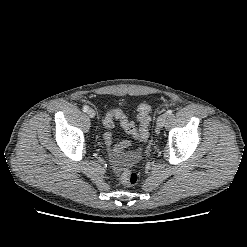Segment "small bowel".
I'll return each instance as SVG.
<instances>
[{"label":"small bowel","mask_w":247,"mask_h":247,"mask_svg":"<svg viewBox=\"0 0 247 247\" xmlns=\"http://www.w3.org/2000/svg\"><path fill=\"white\" fill-rule=\"evenodd\" d=\"M112 165H113V169L116 173H119L122 170L123 167V158L117 154V155H113L112 157Z\"/></svg>","instance_id":"obj_1"}]
</instances>
